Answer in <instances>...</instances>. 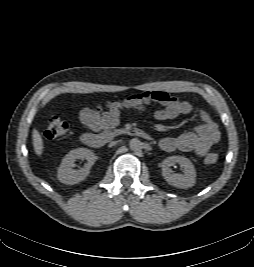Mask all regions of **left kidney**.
I'll return each mask as SVG.
<instances>
[{"label": "left kidney", "instance_id": "5707ae66", "mask_svg": "<svg viewBox=\"0 0 254 267\" xmlns=\"http://www.w3.org/2000/svg\"><path fill=\"white\" fill-rule=\"evenodd\" d=\"M179 164L183 169V174H177L172 171L171 166ZM162 176L168 184L186 189L193 187L196 182V171L192 162L183 156H169L162 162Z\"/></svg>", "mask_w": 254, "mask_h": 267}]
</instances>
